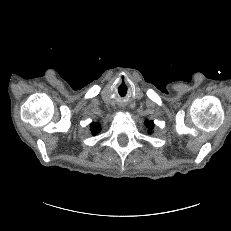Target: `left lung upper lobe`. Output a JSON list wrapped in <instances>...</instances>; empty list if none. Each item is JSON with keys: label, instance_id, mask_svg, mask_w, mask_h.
<instances>
[{"label": "left lung upper lobe", "instance_id": "5c2ea615", "mask_svg": "<svg viewBox=\"0 0 231 231\" xmlns=\"http://www.w3.org/2000/svg\"><path fill=\"white\" fill-rule=\"evenodd\" d=\"M146 127H148V133L151 134L152 129L154 128L153 121H145Z\"/></svg>", "mask_w": 231, "mask_h": 231}]
</instances>
